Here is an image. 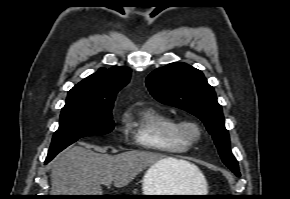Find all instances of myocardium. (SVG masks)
Segmentation results:
<instances>
[{
  "instance_id": "1",
  "label": "myocardium",
  "mask_w": 290,
  "mask_h": 199,
  "mask_svg": "<svg viewBox=\"0 0 290 199\" xmlns=\"http://www.w3.org/2000/svg\"><path fill=\"white\" fill-rule=\"evenodd\" d=\"M174 133L189 144H193L201 138L202 129L197 122L184 119L175 121Z\"/></svg>"
}]
</instances>
